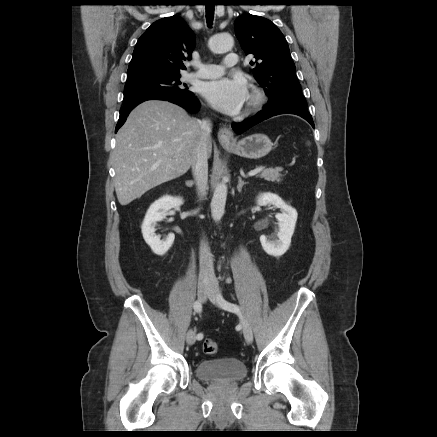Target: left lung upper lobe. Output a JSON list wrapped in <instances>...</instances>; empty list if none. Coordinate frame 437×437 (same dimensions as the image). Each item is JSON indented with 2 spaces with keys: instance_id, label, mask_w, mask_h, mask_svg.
Returning <instances> with one entry per match:
<instances>
[{
  "instance_id": "obj_1",
  "label": "left lung upper lobe",
  "mask_w": 437,
  "mask_h": 437,
  "mask_svg": "<svg viewBox=\"0 0 437 437\" xmlns=\"http://www.w3.org/2000/svg\"><path fill=\"white\" fill-rule=\"evenodd\" d=\"M242 49L256 59L253 74L264 88L269 102L264 108L296 106L307 108L296 68L284 35L270 20L244 14L234 23Z\"/></svg>"
}]
</instances>
